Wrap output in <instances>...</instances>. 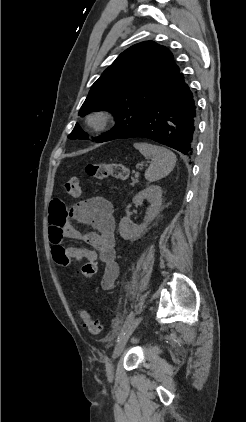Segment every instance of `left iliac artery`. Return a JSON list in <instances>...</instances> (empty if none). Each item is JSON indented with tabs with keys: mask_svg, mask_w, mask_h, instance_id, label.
Here are the masks:
<instances>
[{
	"mask_svg": "<svg viewBox=\"0 0 246 422\" xmlns=\"http://www.w3.org/2000/svg\"><path fill=\"white\" fill-rule=\"evenodd\" d=\"M133 319H134V313H133V311H131L129 313V315L127 316V318H126V321H125V323L123 325V328H122V330L120 332V335H122L124 333L125 329L129 327V325L131 324V322L133 321ZM118 340H119V336H118Z\"/></svg>",
	"mask_w": 246,
	"mask_h": 422,
	"instance_id": "obj_1",
	"label": "left iliac artery"
}]
</instances>
